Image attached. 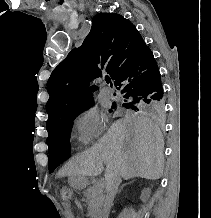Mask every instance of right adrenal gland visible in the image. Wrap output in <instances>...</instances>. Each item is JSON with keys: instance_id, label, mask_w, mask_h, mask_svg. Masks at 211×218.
I'll return each instance as SVG.
<instances>
[{"instance_id": "2a0ac1e0", "label": "right adrenal gland", "mask_w": 211, "mask_h": 218, "mask_svg": "<svg viewBox=\"0 0 211 218\" xmlns=\"http://www.w3.org/2000/svg\"><path fill=\"white\" fill-rule=\"evenodd\" d=\"M124 186H126V184H122V186H121L120 190H117L118 194H120V192H122V190H123Z\"/></svg>"}]
</instances>
